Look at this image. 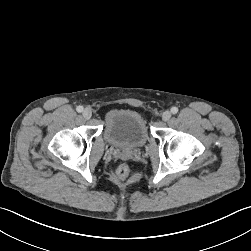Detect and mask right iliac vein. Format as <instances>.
Here are the masks:
<instances>
[{
    "instance_id": "1",
    "label": "right iliac vein",
    "mask_w": 251,
    "mask_h": 251,
    "mask_svg": "<svg viewBox=\"0 0 251 251\" xmlns=\"http://www.w3.org/2000/svg\"><path fill=\"white\" fill-rule=\"evenodd\" d=\"M82 115L85 119H90L92 116V111L89 108H85L82 112Z\"/></svg>"
}]
</instances>
